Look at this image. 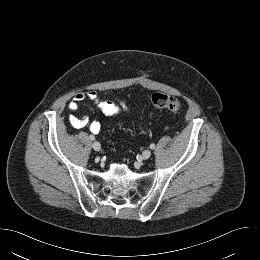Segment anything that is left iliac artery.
Instances as JSON below:
<instances>
[{
    "mask_svg": "<svg viewBox=\"0 0 260 260\" xmlns=\"http://www.w3.org/2000/svg\"><path fill=\"white\" fill-rule=\"evenodd\" d=\"M150 148H151V149H154V148H155V144H151V145H150Z\"/></svg>",
    "mask_w": 260,
    "mask_h": 260,
    "instance_id": "obj_1",
    "label": "left iliac artery"
}]
</instances>
